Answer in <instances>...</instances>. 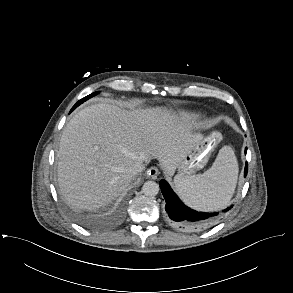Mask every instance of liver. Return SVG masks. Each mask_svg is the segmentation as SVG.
Instances as JSON below:
<instances>
[{"label":"liver","instance_id":"obj_1","mask_svg":"<svg viewBox=\"0 0 293 293\" xmlns=\"http://www.w3.org/2000/svg\"><path fill=\"white\" fill-rule=\"evenodd\" d=\"M202 138L185 117L166 108L85 107L67 123L60 139V191L72 207H102L126 190L135 162L153 157L173 174Z\"/></svg>","mask_w":293,"mask_h":293}]
</instances>
